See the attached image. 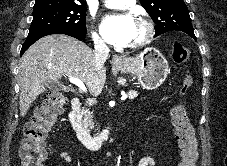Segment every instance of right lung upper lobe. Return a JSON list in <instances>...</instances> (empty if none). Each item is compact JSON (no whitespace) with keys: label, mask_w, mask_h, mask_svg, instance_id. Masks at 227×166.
<instances>
[{"label":"right lung upper lobe","mask_w":227,"mask_h":166,"mask_svg":"<svg viewBox=\"0 0 227 166\" xmlns=\"http://www.w3.org/2000/svg\"><path fill=\"white\" fill-rule=\"evenodd\" d=\"M39 4H75L85 6V0H36L35 5Z\"/></svg>","instance_id":"obj_1"}]
</instances>
